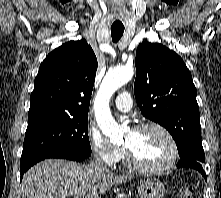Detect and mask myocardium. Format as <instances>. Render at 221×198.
Segmentation results:
<instances>
[{"label": "myocardium", "instance_id": "myocardium-1", "mask_svg": "<svg viewBox=\"0 0 221 198\" xmlns=\"http://www.w3.org/2000/svg\"><path fill=\"white\" fill-rule=\"evenodd\" d=\"M148 128H154V129L159 130L168 139L170 146H171V154L168 160L160 166L147 167L138 163V161L135 159L130 149L123 146L125 161L130 168H132L133 170L137 172L144 173V174H162L168 171L169 169H171L175 165L178 159V155H179L178 143L175 137L173 136V134L164 125L155 121H146V122L140 123L136 125L132 129V131L140 132Z\"/></svg>", "mask_w": 221, "mask_h": 198}]
</instances>
